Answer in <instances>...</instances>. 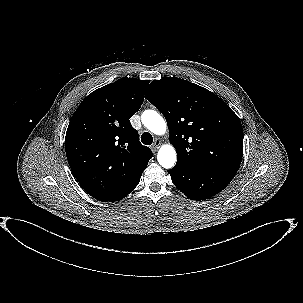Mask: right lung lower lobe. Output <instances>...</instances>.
Listing matches in <instances>:
<instances>
[{"instance_id": "1", "label": "right lung lower lobe", "mask_w": 303, "mask_h": 303, "mask_svg": "<svg viewBox=\"0 0 303 303\" xmlns=\"http://www.w3.org/2000/svg\"><path fill=\"white\" fill-rule=\"evenodd\" d=\"M137 185H138V184H137ZM137 185H136V186H137ZM136 186H135V187H136ZM135 187H133L132 189H130L127 193H125V194H124L121 198H119L118 200H121L122 198L126 197V196L135 188ZM118 200H117V201H118Z\"/></svg>"}]
</instances>
